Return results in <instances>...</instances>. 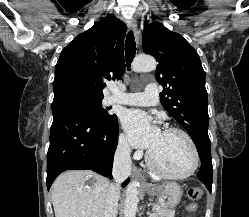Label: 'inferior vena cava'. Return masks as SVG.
<instances>
[{
    "mask_svg": "<svg viewBox=\"0 0 249 217\" xmlns=\"http://www.w3.org/2000/svg\"><path fill=\"white\" fill-rule=\"evenodd\" d=\"M131 157L130 147L125 141L118 144L112 169L114 182L110 184L106 203L104 217H116L117 206L120 197L121 183L130 176Z\"/></svg>",
    "mask_w": 249,
    "mask_h": 217,
    "instance_id": "obj_1",
    "label": "inferior vena cava"
}]
</instances>
